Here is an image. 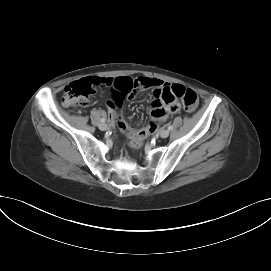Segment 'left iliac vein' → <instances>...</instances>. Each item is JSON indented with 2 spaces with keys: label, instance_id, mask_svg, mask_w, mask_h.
Listing matches in <instances>:
<instances>
[{
  "label": "left iliac vein",
  "instance_id": "obj_1",
  "mask_svg": "<svg viewBox=\"0 0 271 271\" xmlns=\"http://www.w3.org/2000/svg\"><path fill=\"white\" fill-rule=\"evenodd\" d=\"M169 133H170L169 130L162 129V130L159 131V136L161 138H167L169 136Z\"/></svg>",
  "mask_w": 271,
  "mask_h": 271
}]
</instances>
